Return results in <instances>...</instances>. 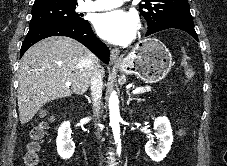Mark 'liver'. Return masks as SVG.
Masks as SVG:
<instances>
[{
	"instance_id": "liver-1",
	"label": "liver",
	"mask_w": 227,
	"mask_h": 166,
	"mask_svg": "<svg viewBox=\"0 0 227 166\" xmlns=\"http://www.w3.org/2000/svg\"><path fill=\"white\" fill-rule=\"evenodd\" d=\"M98 65L91 51L69 37H49L33 45L19 66L17 99L21 124L29 122L52 100L85 93ZM66 82H71V87Z\"/></svg>"
}]
</instances>
